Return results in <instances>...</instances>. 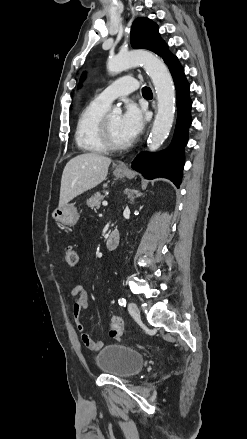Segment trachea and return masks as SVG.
<instances>
[{"label": "trachea", "instance_id": "1", "mask_svg": "<svg viewBox=\"0 0 247 439\" xmlns=\"http://www.w3.org/2000/svg\"><path fill=\"white\" fill-rule=\"evenodd\" d=\"M142 94L145 97H152V91H151V89L149 87H144L142 89Z\"/></svg>", "mask_w": 247, "mask_h": 439}]
</instances>
